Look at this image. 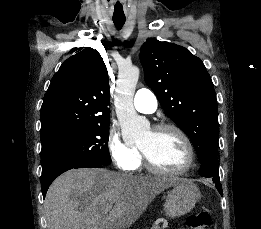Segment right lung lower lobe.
<instances>
[{"label":"right lung lower lobe","mask_w":261,"mask_h":229,"mask_svg":"<svg viewBox=\"0 0 261 229\" xmlns=\"http://www.w3.org/2000/svg\"><path fill=\"white\" fill-rule=\"evenodd\" d=\"M104 165L99 164H85L74 167H64L50 170L46 173H43L41 176V189L43 198H45L46 192L50 186V184L63 172L68 171L72 168H102Z\"/></svg>","instance_id":"right-lung-lower-lobe-1"}]
</instances>
